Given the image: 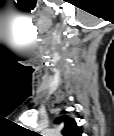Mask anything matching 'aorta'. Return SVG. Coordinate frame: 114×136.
Here are the masks:
<instances>
[{
    "label": "aorta",
    "mask_w": 114,
    "mask_h": 136,
    "mask_svg": "<svg viewBox=\"0 0 114 136\" xmlns=\"http://www.w3.org/2000/svg\"><path fill=\"white\" fill-rule=\"evenodd\" d=\"M57 134H58L57 132H46V133H45V136H48V135H49V136H50V135H51V136H55V135H57Z\"/></svg>",
    "instance_id": "762f6f07"
}]
</instances>
